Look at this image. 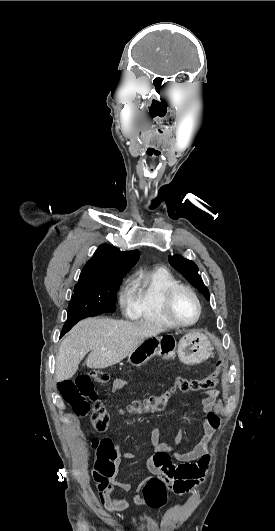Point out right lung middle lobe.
Here are the masks:
<instances>
[{"label": "right lung middle lobe", "mask_w": 275, "mask_h": 531, "mask_svg": "<svg viewBox=\"0 0 275 531\" xmlns=\"http://www.w3.org/2000/svg\"><path fill=\"white\" fill-rule=\"evenodd\" d=\"M122 278L79 280L71 297L67 321L62 333L68 332L83 318L114 312L116 308V292L119 290Z\"/></svg>", "instance_id": "1"}]
</instances>
